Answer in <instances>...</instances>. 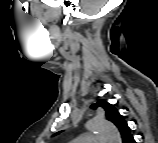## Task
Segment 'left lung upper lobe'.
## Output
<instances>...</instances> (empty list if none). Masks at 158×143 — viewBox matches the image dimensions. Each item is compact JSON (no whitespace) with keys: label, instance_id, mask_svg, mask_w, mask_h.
I'll return each mask as SVG.
<instances>
[{"label":"left lung upper lobe","instance_id":"left-lung-upper-lobe-1","mask_svg":"<svg viewBox=\"0 0 158 143\" xmlns=\"http://www.w3.org/2000/svg\"><path fill=\"white\" fill-rule=\"evenodd\" d=\"M101 107L105 111L106 118L111 121L119 130L122 140L131 135L130 128L124 117L120 115L118 110L110 103L104 100H99L96 104H93L91 108L96 109ZM58 134V133H57Z\"/></svg>","mask_w":158,"mask_h":143}]
</instances>
